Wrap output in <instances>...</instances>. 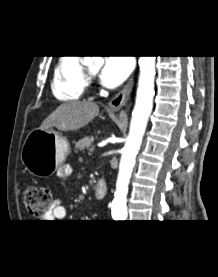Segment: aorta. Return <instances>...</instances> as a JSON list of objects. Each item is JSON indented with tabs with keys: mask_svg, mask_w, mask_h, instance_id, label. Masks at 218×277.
I'll return each instance as SVG.
<instances>
[{
	"mask_svg": "<svg viewBox=\"0 0 218 277\" xmlns=\"http://www.w3.org/2000/svg\"><path fill=\"white\" fill-rule=\"evenodd\" d=\"M92 60L98 65L103 62L102 56H92ZM155 60L156 56H140L139 59L140 74L136 102L132 113L129 135L122 150L115 197L112 202L111 212L115 220H124L127 217L128 184L153 108Z\"/></svg>",
	"mask_w": 218,
	"mask_h": 277,
	"instance_id": "obj_1",
	"label": "aorta"
}]
</instances>
